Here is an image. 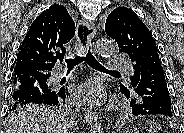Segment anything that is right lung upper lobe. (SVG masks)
I'll use <instances>...</instances> for the list:
<instances>
[{"instance_id":"1","label":"right lung upper lobe","mask_w":184,"mask_h":133,"mask_svg":"<svg viewBox=\"0 0 184 133\" xmlns=\"http://www.w3.org/2000/svg\"><path fill=\"white\" fill-rule=\"evenodd\" d=\"M75 34V24L66 7L55 4L31 24L15 59V75L47 73L66 53L65 45Z\"/></svg>"}]
</instances>
